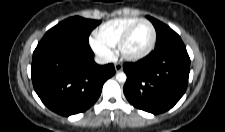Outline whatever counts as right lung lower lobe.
Wrapping results in <instances>:
<instances>
[{"label": "right lung lower lobe", "instance_id": "obj_1", "mask_svg": "<svg viewBox=\"0 0 225 132\" xmlns=\"http://www.w3.org/2000/svg\"><path fill=\"white\" fill-rule=\"evenodd\" d=\"M88 43L41 40L32 60V82L41 101L52 111L70 116L89 109L104 82L115 74L113 64L98 65Z\"/></svg>", "mask_w": 225, "mask_h": 132}]
</instances>
